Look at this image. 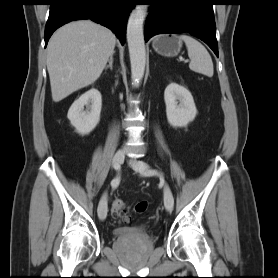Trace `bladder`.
Segmentation results:
<instances>
[{
    "mask_svg": "<svg viewBox=\"0 0 278 278\" xmlns=\"http://www.w3.org/2000/svg\"><path fill=\"white\" fill-rule=\"evenodd\" d=\"M114 235L120 239H135L140 238L144 235V233L137 229H132L128 227H119L114 229Z\"/></svg>",
    "mask_w": 278,
    "mask_h": 278,
    "instance_id": "bladder-1",
    "label": "bladder"
}]
</instances>
